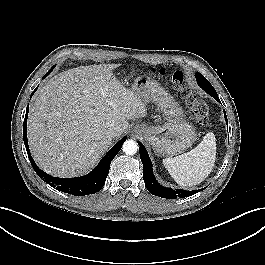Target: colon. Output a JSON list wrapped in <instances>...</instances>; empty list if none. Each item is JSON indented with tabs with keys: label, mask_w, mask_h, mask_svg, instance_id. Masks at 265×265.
Returning <instances> with one entry per match:
<instances>
[{
	"label": "colon",
	"mask_w": 265,
	"mask_h": 265,
	"mask_svg": "<svg viewBox=\"0 0 265 265\" xmlns=\"http://www.w3.org/2000/svg\"><path fill=\"white\" fill-rule=\"evenodd\" d=\"M153 74L163 77L170 81L172 86L179 91L182 97L187 101L190 108L191 117L199 124L207 122L209 117L208 105L200 100L194 92L188 87L185 82V77L182 72H170L164 69H152Z\"/></svg>",
	"instance_id": "5ec220e1"
}]
</instances>
